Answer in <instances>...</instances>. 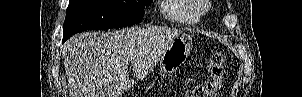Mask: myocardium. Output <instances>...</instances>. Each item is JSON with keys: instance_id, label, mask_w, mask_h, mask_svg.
Instances as JSON below:
<instances>
[{"instance_id": "obj_1", "label": "myocardium", "mask_w": 302, "mask_h": 97, "mask_svg": "<svg viewBox=\"0 0 302 97\" xmlns=\"http://www.w3.org/2000/svg\"><path fill=\"white\" fill-rule=\"evenodd\" d=\"M197 15H203L209 10L208 0H188Z\"/></svg>"}]
</instances>
